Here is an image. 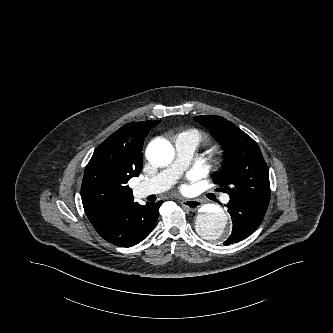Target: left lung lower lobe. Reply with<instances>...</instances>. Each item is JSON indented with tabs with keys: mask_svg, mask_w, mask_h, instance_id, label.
<instances>
[{
	"mask_svg": "<svg viewBox=\"0 0 333 333\" xmlns=\"http://www.w3.org/2000/svg\"><path fill=\"white\" fill-rule=\"evenodd\" d=\"M233 229L225 245L236 243L252 234L261 224L267 208L230 199L227 204Z\"/></svg>",
	"mask_w": 333,
	"mask_h": 333,
	"instance_id": "obj_1",
	"label": "left lung lower lobe"
}]
</instances>
